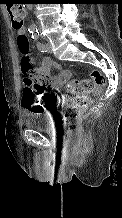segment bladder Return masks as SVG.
<instances>
[{"mask_svg":"<svg viewBox=\"0 0 122 218\" xmlns=\"http://www.w3.org/2000/svg\"><path fill=\"white\" fill-rule=\"evenodd\" d=\"M24 125L40 131H45L50 126L49 118L43 112H30L24 116Z\"/></svg>","mask_w":122,"mask_h":218,"instance_id":"obj_1","label":"bladder"}]
</instances>
